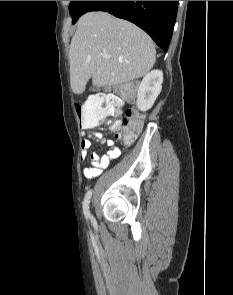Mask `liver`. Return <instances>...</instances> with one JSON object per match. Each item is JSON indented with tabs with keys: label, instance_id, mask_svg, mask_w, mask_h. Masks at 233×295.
I'll use <instances>...</instances> for the list:
<instances>
[{
	"label": "liver",
	"instance_id": "6515ba94",
	"mask_svg": "<svg viewBox=\"0 0 233 295\" xmlns=\"http://www.w3.org/2000/svg\"><path fill=\"white\" fill-rule=\"evenodd\" d=\"M155 56L152 39L136 25L107 12H88L79 19L70 44L72 91L83 93L90 78L96 87L140 78L153 67Z\"/></svg>",
	"mask_w": 233,
	"mask_h": 295
}]
</instances>
